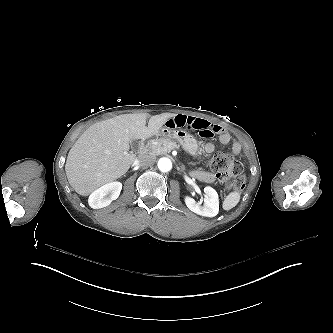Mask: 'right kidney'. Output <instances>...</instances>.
Here are the masks:
<instances>
[{
    "instance_id": "right-kidney-1",
    "label": "right kidney",
    "mask_w": 333,
    "mask_h": 333,
    "mask_svg": "<svg viewBox=\"0 0 333 333\" xmlns=\"http://www.w3.org/2000/svg\"><path fill=\"white\" fill-rule=\"evenodd\" d=\"M121 189L122 183L117 181L101 186L89 196V206L93 209H99L110 205L113 200L119 197Z\"/></svg>"
}]
</instances>
